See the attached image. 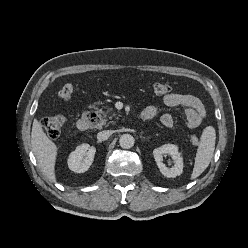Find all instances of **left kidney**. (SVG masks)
Listing matches in <instances>:
<instances>
[{"instance_id": "left-kidney-1", "label": "left kidney", "mask_w": 248, "mask_h": 248, "mask_svg": "<svg viewBox=\"0 0 248 248\" xmlns=\"http://www.w3.org/2000/svg\"><path fill=\"white\" fill-rule=\"evenodd\" d=\"M154 159L157 163V166L160 172L168 178H175L183 172V161L181 154L178 152V147L173 144H165L159 148L153 150ZM169 155L174 165L171 168H168L163 163V157Z\"/></svg>"}]
</instances>
